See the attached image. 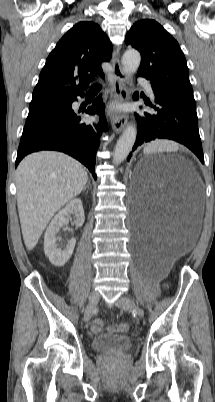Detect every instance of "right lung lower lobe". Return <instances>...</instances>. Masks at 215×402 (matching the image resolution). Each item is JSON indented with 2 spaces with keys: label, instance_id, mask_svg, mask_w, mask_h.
<instances>
[{
  "label": "right lung lower lobe",
  "instance_id": "right-lung-lower-lobe-1",
  "mask_svg": "<svg viewBox=\"0 0 215 402\" xmlns=\"http://www.w3.org/2000/svg\"><path fill=\"white\" fill-rule=\"evenodd\" d=\"M83 94H80L83 97ZM77 97L70 99L67 110L59 116L36 126L22 134L15 166L27 155L40 150L61 151L76 158L92 173L95 167V155L100 145V136L107 130L104 116V105L99 97L86 113L100 115L98 123H82L81 117L72 110V103Z\"/></svg>",
  "mask_w": 215,
  "mask_h": 402
}]
</instances>
